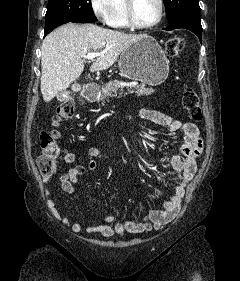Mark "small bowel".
I'll use <instances>...</instances> for the list:
<instances>
[{"mask_svg": "<svg viewBox=\"0 0 240 281\" xmlns=\"http://www.w3.org/2000/svg\"><path fill=\"white\" fill-rule=\"evenodd\" d=\"M142 119L168 128L171 132L183 136V143L169 157V164L175 170L178 183L175 185L171 197L165 201L160 209L150 211L141 221L126 220L112 224L114 216H106L97 225L84 227L80 223H71L67 216H61L57 211L56 203L48 200L50 209L54 216L63 224L70 225L73 232L85 231L89 234H100L104 237L122 236L125 234H136L158 229L171 222L181 209L182 200L185 195L186 186L194 177L196 172V159L202 153L203 142L197 125L191 122L183 123L163 112L157 110L142 109L139 112ZM88 157L87 165L75 166L63 173L56 169L52 174L44 175V181L50 182L58 177L61 188L67 193H74L78 187V177L94 171L97 167V160L105 161V155L98 148H89L85 151ZM74 152L65 153L60 157L61 161L73 163L78 158Z\"/></svg>", "mask_w": 240, "mask_h": 281, "instance_id": "small-bowel-1", "label": "small bowel"}]
</instances>
